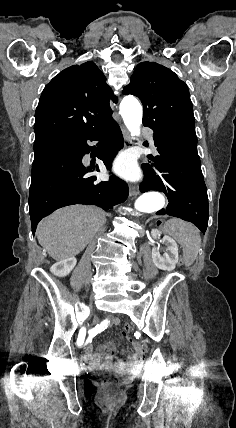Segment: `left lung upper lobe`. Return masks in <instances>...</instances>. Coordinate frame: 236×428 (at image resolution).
Returning a JSON list of instances; mask_svg holds the SVG:
<instances>
[{
  "label": "left lung upper lobe",
  "instance_id": "obj_1",
  "mask_svg": "<svg viewBox=\"0 0 236 428\" xmlns=\"http://www.w3.org/2000/svg\"><path fill=\"white\" fill-rule=\"evenodd\" d=\"M122 92L141 100L144 126L197 152L189 90L174 72L158 63H139Z\"/></svg>",
  "mask_w": 236,
  "mask_h": 428
}]
</instances>
